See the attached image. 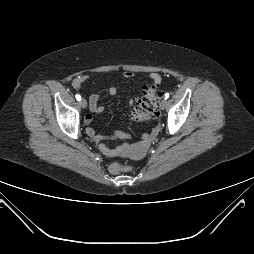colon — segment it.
<instances>
[{"label":"colon","instance_id":"1","mask_svg":"<svg viewBox=\"0 0 254 254\" xmlns=\"http://www.w3.org/2000/svg\"><path fill=\"white\" fill-rule=\"evenodd\" d=\"M159 92L155 87L144 89L142 98L136 103L132 110V117L138 122H146L158 116ZM131 166L127 163L114 162L110 166L113 173L128 171Z\"/></svg>","mask_w":254,"mask_h":254}]
</instances>
